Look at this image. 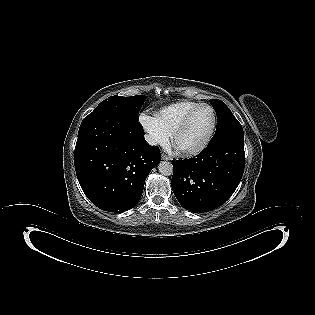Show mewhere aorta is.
Here are the masks:
<instances>
[{
  "label": "aorta",
  "mask_w": 315,
  "mask_h": 315,
  "mask_svg": "<svg viewBox=\"0 0 315 315\" xmlns=\"http://www.w3.org/2000/svg\"><path fill=\"white\" fill-rule=\"evenodd\" d=\"M158 170L163 175H171L173 173V166L168 161H161L158 165Z\"/></svg>",
  "instance_id": "1"
}]
</instances>
